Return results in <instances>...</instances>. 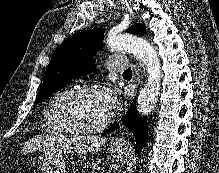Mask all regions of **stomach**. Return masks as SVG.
Wrapping results in <instances>:
<instances>
[{"mask_svg":"<svg viewBox=\"0 0 219 173\" xmlns=\"http://www.w3.org/2000/svg\"><path fill=\"white\" fill-rule=\"evenodd\" d=\"M111 156L117 161H123L128 156V152L124 146L111 147ZM40 173H65L66 160L63 151L46 149L38 159Z\"/></svg>","mask_w":219,"mask_h":173,"instance_id":"1","label":"stomach"}]
</instances>
